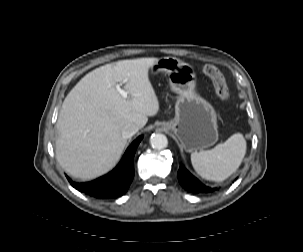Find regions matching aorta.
Wrapping results in <instances>:
<instances>
[{"label": "aorta", "mask_w": 303, "mask_h": 252, "mask_svg": "<svg viewBox=\"0 0 303 252\" xmlns=\"http://www.w3.org/2000/svg\"><path fill=\"white\" fill-rule=\"evenodd\" d=\"M150 144L154 149L161 150L167 147L168 140L164 134L156 133L152 134Z\"/></svg>", "instance_id": "762f6f07"}]
</instances>
